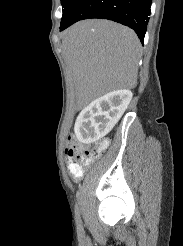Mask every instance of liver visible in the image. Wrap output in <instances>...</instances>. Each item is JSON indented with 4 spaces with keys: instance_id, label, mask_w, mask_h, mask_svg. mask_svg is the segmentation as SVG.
<instances>
[{
    "instance_id": "1",
    "label": "liver",
    "mask_w": 183,
    "mask_h": 246,
    "mask_svg": "<svg viewBox=\"0 0 183 246\" xmlns=\"http://www.w3.org/2000/svg\"><path fill=\"white\" fill-rule=\"evenodd\" d=\"M141 44L135 32L108 20L75 23L62 34V52L82 105L137 85Z\"/></svg>"
}]
</instances>
